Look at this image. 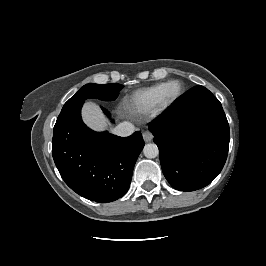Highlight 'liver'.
<instances>
[{
    "mask_svg": "<svg viewBox=\"0 0 266 266\" xmlns=\"http://www.w3.org/2000/svg\"><path fill=\"white\" fill-rule=\"evenodd\" d=\"M82 117L87 126L93 130L101 131L108 126V122L100 108L93 102L85 103L82 110Z\"/></svg>",
    "mask_w": 266,
    "mask_h": 266,
    "instance_id": "liver-1",
    "label": "liver"
}]
</instances>
